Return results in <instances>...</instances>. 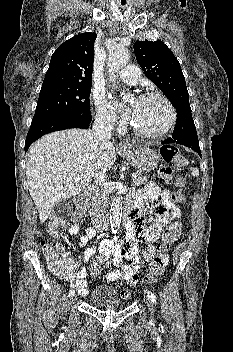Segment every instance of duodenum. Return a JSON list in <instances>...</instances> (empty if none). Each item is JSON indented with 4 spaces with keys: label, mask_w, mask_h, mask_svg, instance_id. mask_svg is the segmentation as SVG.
Wrapping results in <instances>:
<instances>
[{
    "label": "duodenum",
    "mask_w": 233,
    "mask_h": 352,
    "mask_svg": "<svg viewBox=\"0 0 233 352\" xmlns=\"http://www.w3.org/2000/svg\"><path fill=\"white\" fill-rule=\"evenodd\" d=\"M83 203L87 207L90 215L96 220L97 226L100 229H105L108 226V222L103 218L102 210L96 201V187L90 186L84 193ZM136 210V204L134 200L130 199L123 210V217L125 221L129 219Z\"/></svg>",
    "instance_id": "410a0bca"
}]
</instances>
